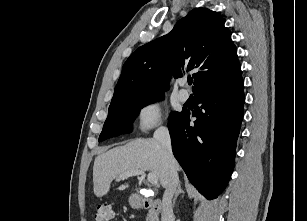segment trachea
I'll return each instance as SVG.
<instances>
[{
	"instance_id": "3493384b",
	"label": "trachea",
	"mask_w": 307,
	"mask_h": 221,
	"mask_svg": "<svg viewBox=\"0 0 307 221\" xmlns=\"http://www.w3.org/2000/svg\"><path fill=\"white\" fill-rule=\"evenodd\" d=\"M192 82H193V80H192V79H188V84H189V85H191V84H192Z\"/></svg>"
}]
</instances>
